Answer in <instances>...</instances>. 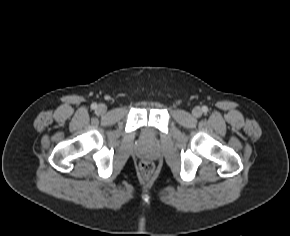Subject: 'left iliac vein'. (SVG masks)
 <instances>
[{
    "label": "left iliac vein",
    "instance_id": "1",
    "mask_svg": "<svg viewBox=\"0 0 290 236\" xmlns=\"http://www.w3.org/2000/svg\"><path fill=\"white\" fill-rule=\"evenodd\" d=\"M192 114L195 116V117H200L202 115V110L200 107H195L193 110H192Z\"/></svg>",
    "mask_w": 290,
    "mask_h": 236
}]
</instances>
